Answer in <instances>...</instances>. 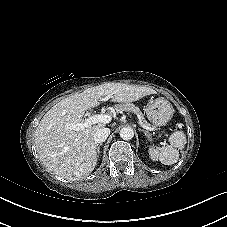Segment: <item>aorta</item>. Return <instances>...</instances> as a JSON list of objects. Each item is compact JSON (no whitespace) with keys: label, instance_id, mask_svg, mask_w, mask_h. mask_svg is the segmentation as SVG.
Returning <instances> with one entry per match:
<instances>
[{"label":"aorta","instance_id":"obj_1","mask_svg":"<svg viewBox=\"0 0 227 227\" xmlns=\"http://www.w3.org/2000/svg\"><path fill=\"white\" fill-rule=\"evenodd\" d=\"M120 137L123 140H131L134 137V131L131 127H123L120 130Z\"/></svg>","mask_w":227,"mask_h":227}]
</instances>
